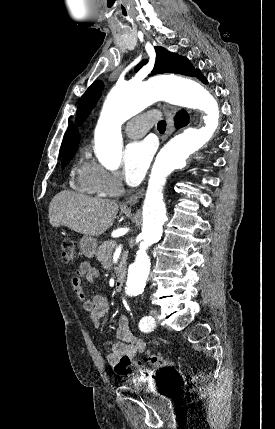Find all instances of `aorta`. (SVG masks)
Returning a JSON list of instances; mask_svg holds the SVG:
<instances>
[{
  "label": "aorta",
  "instance_id": "obj_1",
  "mask_svg": "<svg viewBox=\"0 0 275 429\" xmlns=\"http://www.w3.org/2000/svg\"><path fill=\"white\" fill-rule=\"evenodd\" d=\"M203 111L205 126L187 128L174 136L160 151L152 170L143 205L141 242L135 261L130 265L125 286L126 295L142 292L150 273L147 249L158 242L167 221L163 202L166 178L212 137L218 127L220 109L216 97L197 81L160 77L144 83L116 85L107 96L95 130V152L108 169L118 168L122 151L121 125L156 101Z\"/></svg>",
  "mask_w": 275,
  "mask_h": 429
}]
</instances>
